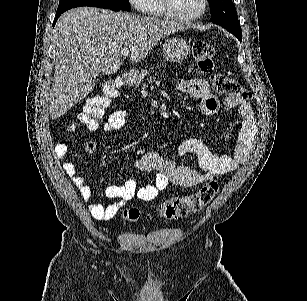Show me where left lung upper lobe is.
Instances as JSON below:
<instances>
[{"mask_svg": "<svg viewBox=\"0 0 307 301\" xmlns=\"http://www.w3.org/2000/svg\"><path fill=\"white\" fill-rule=\"evenodd\" d=\"M212 22L216 23L241 41V27L232 0H209Z\"/></svg>", "mask_w": 307, "mask_h": 301, "instance_id": "1", "label": "left lung upper lobe"}]
</instances>
